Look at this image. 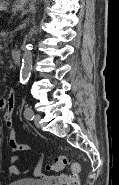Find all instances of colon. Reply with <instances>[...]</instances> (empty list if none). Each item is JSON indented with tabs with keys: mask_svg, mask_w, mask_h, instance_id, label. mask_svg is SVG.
Masks as SVG:
<instances>
[{
	"mask_svg": "<svg viewBox=\"0 0 119 185\" xmlns=\"http://www.w3.org/2000/svg\"><path fill=\"white\" fill-rule=\"evenodd\" d=\"M70 166L71 173L68 176L66 185H80L79 172L81 169L80 163L77 161H71L67 156L60 155L57 157L54 162L47 166L48 170L51 171H60L66 166Z\"/></svg>",
	"mask_w": 119,
	"mask_h": 185,
	"instance_id": "obj_1",
	"label": "colon"
}]
</instances>
